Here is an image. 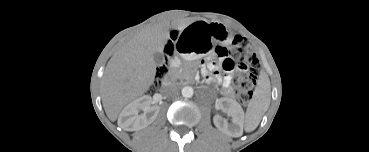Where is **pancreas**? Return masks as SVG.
Segmentation results:
<instances>
[{
    "label": "pancreas",
    "mask_w": 369,
    "mask_h": 152,
    "mask_svg": "<svg viewBox=\"0 0 369 152\" xmlns=\"http://www.w3.org/2000/svg\"><path fill=\"white\" fill-rule=\"evenodd\" d=\"M228 93H229L230 95H233V94H234V92H233V90H232L231 88H229V89H228Z\"/></svg>",
    "instance_id": "pancreas-1"
}]
</instances>
